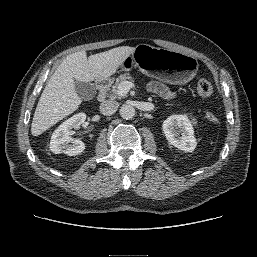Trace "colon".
<instances>
[{
	"instance_id": "obj_1",
	"label": "colon",
	"mask_w": 257,
	"mask_h": 257,
	"mask_svg": "<svg viewBox=\"0 0 257 257\" xmlns=\"http://www.w3.org/2000/svg\"><path fill=\"white\" fill-rule=\"evenodd\" d=\"M197 93L201 98H208L212 95L213 93V86L212 84L207 81V80H200L197 84L196 87ZM206 118L209 122L211 123H217L218 122V117L212 113V112H208L206 114Z\"/></svg>"
}]
</instances>
